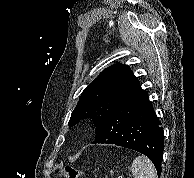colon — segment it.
Returning <instances> with one entry per match:
<instances>
[{
	"label": "colon",
	"mask_w": 194,
	"mask_h": 178,
	"mask_svg": "<svg viewBox=\"0 0 194 178\" xmlns=\"http://www.w3.org/2000/svg\"><path fill=\"white\" fill-rule=\"evenodd\" d=\"M82 174L80 169L73 166H66L60 171L59 176L61 178H81Z\"/></svg>",
	"instance_id": "1"
}]
</instances>
